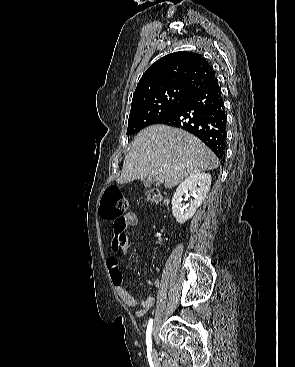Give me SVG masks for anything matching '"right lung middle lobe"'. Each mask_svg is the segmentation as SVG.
Listing matches in <instances>:
<instances>
[{"mask_svg":"<svg viewBox=\"0 0 295 367\" xmlns=\"http://www.w3.org/2000/svg\"><path fill=\"white\" fill-rule=\"evenodd\" d=\"M191 93L185 90H167L136 100L131 105L127 135L156 124L178 108Z\"/></svg>","mask_w":295,"mask_h":367,"instance_id":"obj_1","label":"right lung middle lobe"}]
</instances>
